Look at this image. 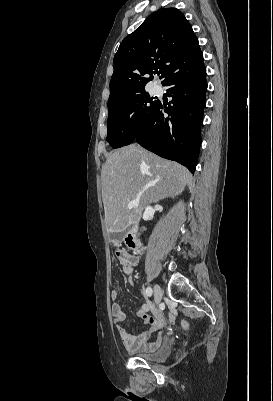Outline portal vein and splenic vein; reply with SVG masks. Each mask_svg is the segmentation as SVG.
<instances>
[{
    "label": "portal vein and splenic vein",
    "instance_id": "1",
    "mask_svg": "<svg viewBox=\"0 0 273 401\" xmlns=\"http://www.w3.org/2000/svg\"><path fill=\"white\" fill-rule=\"evenodd\" d=\"M135 207H139V201H130L128 203V209H135Z\"/></svg>",
    "mask_w": 273,
    "mask_h": 401
}]
</instances>
